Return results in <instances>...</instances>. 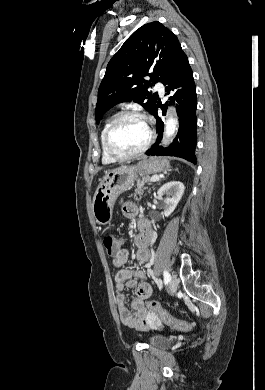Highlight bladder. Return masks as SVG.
Wrapping results in <instances>:
<instances>
[{
    "mask_svg": "<svg viewBox=\"0 0 265 390\" xmlns=\"http://www.w3.org/2000/svg\"><path fill=\"white\" fill-rule=\"evenodd\" d=\"M149 344L155 348H167L171 345V340L163 336H152L149 339Z\"/></svg>",
    "mask_w": 265,
    "mask_h": 390,
    "instance_id": "1",
    "label": "bladder"
}]
</instances>
